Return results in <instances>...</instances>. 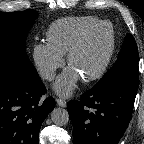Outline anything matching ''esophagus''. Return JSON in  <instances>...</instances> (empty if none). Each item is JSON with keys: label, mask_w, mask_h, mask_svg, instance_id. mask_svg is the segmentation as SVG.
Masks as SVG:
<instances>
[{"label": "esophagus", "mask_w": 144, "mask_h": 144, "mask_svg": "<svg viewBox=\"0 0 144 144\" xmlns=\"http://www.w3.org/2000/svg\"><path fill=\"white\" fill-rule=\"evenodd\" d=\"M56 102L61 107H66V105H67V103H66V101L64 99L58 98V99H56Z\"/></svg>", "instance_id": "obj_1"}]
</instances>
